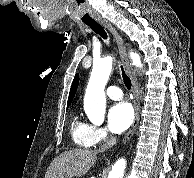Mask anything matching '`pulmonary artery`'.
<instances>
[{
    "label": "pulmonary artery",
    "instance_id": "pulmonary-artery-1",
    "mask_svg": "<svg viewBox=\"0 0 194 178\" xmlns=\"http://www.w3.org/2000/svg\"><path fill=\"white\" fill-rule=\"evenodd\" d=\"M106 94L110 99L113 100H120L123 97V92L122 90L117 87V86H110L107 90H106Z\"/></svg>",
    "mask_w": 194,
    "mask_h": 178
}]
</instances>
